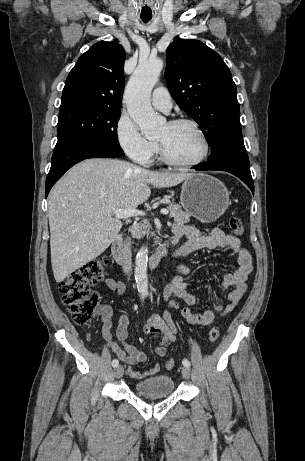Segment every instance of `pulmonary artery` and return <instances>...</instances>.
<instances>
[{
  "instance_id": "e3ab8cb5",
  "label": "pulmonary artery",
  "mask_w": 305,
  "mask_h": 461,
  "mask_svg": "<svg viewBox=\"0 0 305 461\" xmlns=\"http://www.w3.org/2000/svg\"><path fill=\"white\" fill-rule=\"evenodd\" d=\"M151 102L154 108L163 112H169L172 108L171 96L168 90L163 86L154 89Z\"/></svg>"
}]
</instances>
